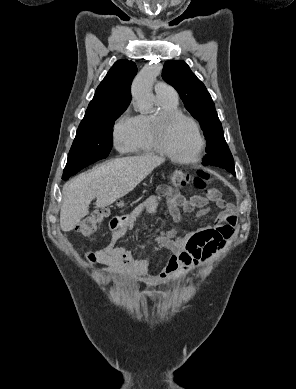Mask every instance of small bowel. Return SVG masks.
Returning <instances> with one entry per match:
<instances>
[{"mask_svg":"<svg viewBox=\"0 0 296 389\" xmlns=\"http://www.w3.org/2000/svg\"><path fill=\"white\" fill-rule=\"evenodd\" d=\"M166 197L170 214L175 222H179L181 211L203 217L207 214L209 200L214 201L221 213L212 225L195 231L178 234L176 228L163 233L158 239V247L172 253L162 274L169 279L177 274H184L198 265L206 263L234 235L237 226L235 207L216 193L209 198L193 195L186 198L180 191L170 186H160L157 196L148 197L139 207L129 214L113 219L108 227L112 231L104 248L88 254L92 263L103 265L117 272H123L132 266L130 252L118 242L130 232L136 220L144 213H154L158 209L159 199Z\"/></svg>","mask_w":296,"mask_h":389,"instance_id":"small-bowel-1","label":"small bowel"}]
</instances>
